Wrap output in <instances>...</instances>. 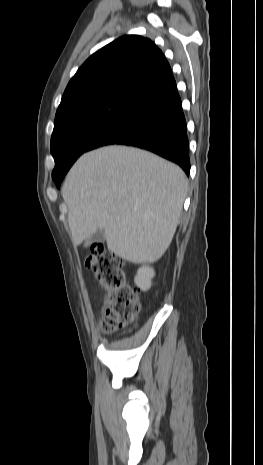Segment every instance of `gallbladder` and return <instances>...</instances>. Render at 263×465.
I'll list each match as a JSON object with an SVG mask.
<instances>
[{
  "instance_id": "bac80fb5",
  "label": "gallbladder",
  "mask_w": 263,
  "mask_h": 465,
  "mask_svg": "<svg viewBox=\"0 0 263 465\" xmlns=\"http://www.w3.org/2000/svg\"><path fill=\"white\" fill-rule=\"evenodd\" d=\"M105 240L104 230L98 229L94 234H92L84 244V247H88L95 242H102Z\"/></svg>"
}]
</instances>
